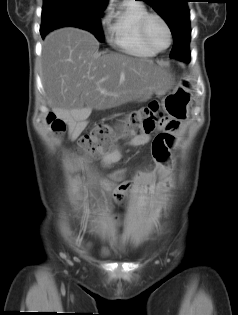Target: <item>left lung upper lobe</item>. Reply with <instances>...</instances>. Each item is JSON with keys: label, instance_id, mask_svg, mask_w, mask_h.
Segmentation results:
<instances>
[{"label": "left lung upper lobe", "instance_id": "5c2ea615", "mask_svg": "<svg viewBox=\"0 0 238 315\" xmlns=\"http://www.w3.org/2000/svg\"><path fill=\"white\" fill-rule=\"evenodd\" d=\"M151 5L166 21L172 35H184L190 39V14L187 0H142Z\"/></svg>", "mask_w": 238, "mask_h": 315}]
</instances>
